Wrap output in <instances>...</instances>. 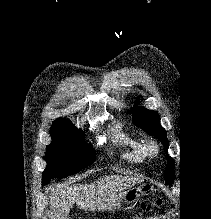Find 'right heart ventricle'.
<instances>
[{
  "instance_id": "obj_1",
  "label": "right heart ventricle",
  "mask_w": 211,
  "mask_h": 219,
  "mask_svg": "<svg viewBox=\"0 0 211 219\" xmlns=\"http://www.w3.org/2000/svg\"><path fill=\"white\" fill-rule=\"evenodd\" d=\"M112 141L122 149V156L128 162L134 164L144 162L146 156L142 149V143L137 137L115 125L112 128Z\"/></svg>"
}]
</instances>
